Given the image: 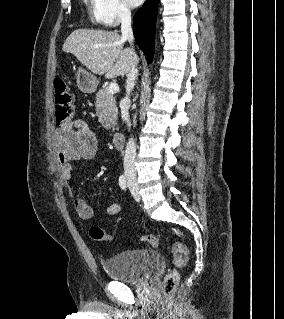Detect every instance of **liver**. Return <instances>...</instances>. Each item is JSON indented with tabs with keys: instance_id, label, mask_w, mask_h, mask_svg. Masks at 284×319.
<instances>
[{
	"instance_id": "6515ba94",
	"label": "liver",
	"mask_w": 284,
	"mask_h": 319,
	"mask_svg": "<svg viewBox=\"0 0 284 319\" xmlns=\"http://www.w3.org/2000/svg\"><path fill=\"white\" fill-rule=\"evenodd\" d=\"M125 40L117 32L76 29L63 44V51L72 53L88 70L110 79L127 74L138 57L124 49Z\"/></svg>"
}]
</instances>
